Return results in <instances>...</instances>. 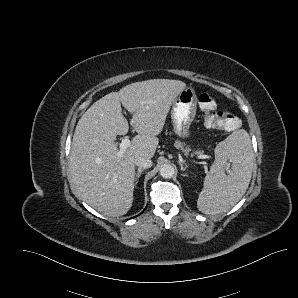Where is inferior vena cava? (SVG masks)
Masks as SVG:
<instances>
[{"instance_id":"inferior-vena-cava-1","label":"inferior vena cava","mask_w":298,"mask_h":298,"mask_svg":"<svg viewBox=\"0 0 298 298\" xmlns=\"http://www.w3.org/2000/svg\"><path fill=\"white\" fill-rule=\"evenodd\" d=\"M134 163L139 168L142 167V168H145V169L151 168L152 165H153V162H152L151 159H148V158H145V157H141V156L137 157L134 160Z\"/></svg>"}]
</instances>
